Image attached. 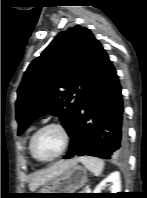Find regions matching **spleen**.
Masks as SVG:
<instances>
[{
    "instance_id": "obj_1",
    "label": "spleen",
    "mask_w": 147,
    "mask_h": 198,
    "mask_svg": "<svg viewBox=\"0 0 147 198\" xmlns=\"http://www.w3.org/2000/svg\"><path fill=\"white\" fill-rule=\"evenodd\" d=\"M78 160L95 176L101 175L104 169V161L102 159L90 156L79 157Z\"/></svg>"
}]
</instances>
